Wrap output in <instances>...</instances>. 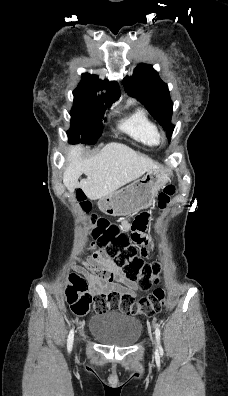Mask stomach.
I'll use <instances>...</instances> for the list:
<instances>
[{"instance_id":"stomach-1","label":"stomach","mask_w":228,"mask_h":396,"mask_svg":"<svg viewBox=\"0 0 228 396\" xmlns=\"http://www.w3.org/2000/svg\"><path fill=\"white\" fill-rule=\"evenodd\" d=\"M169 181V174L162 169L151 170L141 179L116 190L98 200L99 209L110 216L129 215L148 208L160 188Z\"/></svg>"}]
</instances>
